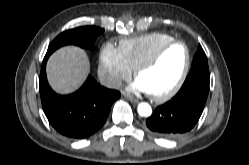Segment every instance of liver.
Returning a JSON list of instances; mask_svg holds the SVG:
<instances>
[{
  "mask_svg": "<svg viewBox=\"0 0 249 165\" xmlns=\"http://www.w3.org/2000/svg\"><path fill=\"white\" fill-rule=\"evenodd\" d=\"M89 70L86 52L76 46H65L50 56L47 78L56 93L65 95L76 91L84 83Z\"/></svg>",
  "mask_w": 249,
  "mask_h": 165,
  "instance_id": "liver-1",
  "label": "liver"
}]
</instances>
